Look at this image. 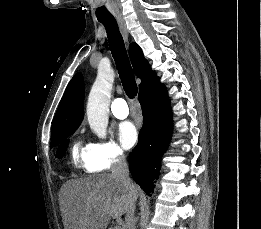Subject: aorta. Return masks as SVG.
<instances>
[{"label": "aorta", "instance_id": "aorta-1", "mask_svg": "<svg viewBox=\"0 0 261 229\" xmlns=\"http://www.w3.org/2000/svg\"><path fill=\"white\" fill-rule=\"evenodd\" d=\"M114 70L111 66H99L97 78L89 92L87 121L95 133H104L109 119V104Z\"/></svg>", "mask_w": 261, "mask_h": 229}]
</instances>
